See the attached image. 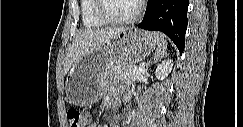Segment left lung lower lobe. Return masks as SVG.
<instances>
[{
    "instance_id": "1",
    "label": "left lung lower lobe",
    "mask_w": 243,
    "mask_h": 127,
    "mask_svg": "<svg viewBox=\"0 0 243 127\" xmlns=\"http://www.w3.org/2000/svg\"><path fill=\"white\" fill-rule=\"evenodd\" d=\"M188 0H149L138 28L161 31L171 38L182 54L187 29Z\"/></svg>"
}]
</instances>
